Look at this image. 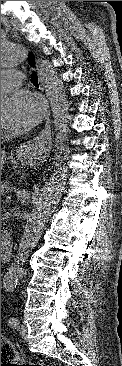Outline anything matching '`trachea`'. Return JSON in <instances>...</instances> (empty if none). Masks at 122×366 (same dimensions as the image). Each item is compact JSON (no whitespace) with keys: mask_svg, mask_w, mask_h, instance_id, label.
Listing matches in <instances>:
<instances>
[{"mask_svg":"<svg viewBox=\"0 0 122 366\" xmlns=\"http://www.w3.org/2000/svg\"><path fill=\"white\" fill-rule=\"evenodd\" d=\"M31 82L33 83V85L39 86V84H38V77H37L36 73H32Z\"/></svg>","mask_w":122,"mask_h":366,"instance_id":"3493384b","label":"trachea"}]
</instances>
